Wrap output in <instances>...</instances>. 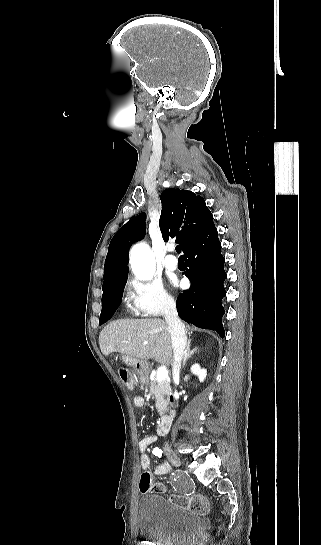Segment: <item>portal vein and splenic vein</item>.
<instances>
[{
  "instance_id": "obj_1",
  "label": "portal vein and splenic vein",
  "mask_w": 321,
  "mask_h": 545,
  "mask_svg": "<svg viewBox=\"0 0 321 545\" xmlns=\"http://www.w3.org/2000/svg\"><path fill=\"white\" fill-rule=\"evenodd\" d=\"M145 345H147V343H145ZM168 377V371L166 369V367H159V369H157V375H156V381H164V379H167Z\"/></svg>"
}]
</instances>
